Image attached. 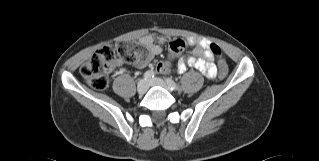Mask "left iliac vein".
Segmentation results:
<instances>
[{
    "label": "left iliac vein",
    "instance_id": "obj_1",
    "mask_svg": "<svg viewBox=\"0 0 319 161\" xmlns=\"http://www.w3.org/2000/svg\"><path fill=\"white\" fill-rule=\"evenodd\" d=\"M149 85L150 86H161V87L168 89V90L170 89L168 84L164 80H162L161 78L151 79L149 81Z\"/></svg>",
    "mask_w": 319,
    "mask_h": 161
}]
</instances>
